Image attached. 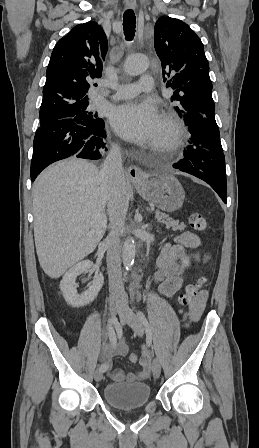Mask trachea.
<instances>
[{"mask_svg": "<svg viewBox=\"0 0 259 448\" xmlns=\"http://www.w3.org/2000/svg\"><path fill=\"white\" fill-rule=\"evenodd\" d=\"M136 17L133 10H126L123 16V30L126 40H133L135 35Z\"/></svg>", "mask_w": 259, "mask_h": 448, "instance_id": "obj_1", "label": "trachea"}]
</instances>
